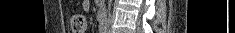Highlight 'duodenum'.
<instances>
[{"label":"duodenum","mask_w":235,"mask_h":33,"mask_svg":"<svg viewBox=\"0 0 235 33\" xmlns=\"http://www.w3.org/2000/svg\"><path fill=\"white\" fill-rule=\"evenodd\" d=\"M99 29L100 33H105V23L103 21L99 23Z\"/></svg>","instance_id":"410a0bca"}]
</instances>
